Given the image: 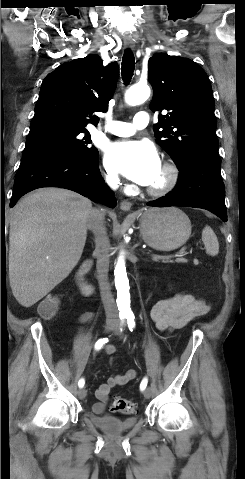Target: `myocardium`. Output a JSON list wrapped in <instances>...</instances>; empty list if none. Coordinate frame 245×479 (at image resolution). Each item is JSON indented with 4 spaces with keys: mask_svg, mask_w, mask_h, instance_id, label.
Here are the masks:
<instances>
[{
    "mask_svg": "<svg viewBox=\"0 0 245 479\" xmlns=\"http://www.w3.org/2000/svg\"><path fill=\"white\" fill-rule=\"evenodd\" d=\"M161 169L164 172L163 181L155 186H150L147 192L155 197H160L168 194L177 185L179 179V172L177 167L171 162H164Z\"/></svg>",
    "mask_w": 245,
    "mask_h": 479,
    "instance_id": "obj_1",
    "label": "myocardium"
}]
</instances>
